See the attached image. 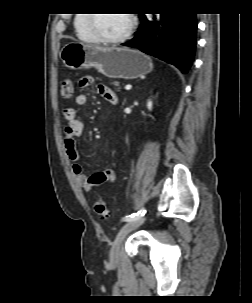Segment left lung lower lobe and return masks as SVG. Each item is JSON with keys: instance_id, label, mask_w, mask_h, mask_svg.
I'll list each match as a JSON object with an SVG mask.
<instances>
[{"instance_id": "obj_1", "label": "left lung lower lobe", "mask_w": 252, "mask_h": 303, "mask_svg": "<svg viewBox=\"0 0 252 303\" xmlns=\"http://www.w3.org/2000/svg\"><path fill=\"white\" fill-rule=\"evenodd\" d=\"M141 25L135 37L123 46L137 48L162 59L187 73L192 65L196 46V15H139Z\"/></svg>"}]
</instances>
